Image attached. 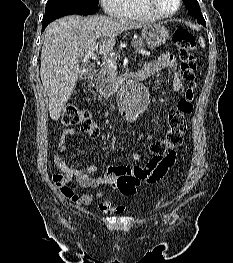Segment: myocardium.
Listing matches in <instances>:
<instances>
[{
    "label": "myocardium",
    "instance_id": "f54148a6",
    "mask_svg": "<svg viewBox=\"0 0 233 263\" xmlns=\"http://www.w3.org/2000/svg\"><path fill=\"white\" fill-rule=\"evenodd\" d=\"M181 3L182 0H176V7L175 9L170 12V13H164L162 11H160L155 3L154 0H145V4L147 6V8L154 14L156 15L158 18H170L173 17L174 15L177 14V12L179 11L180 7H181Z\"/></svg>",
    "mask_w": 233,
    "mask_h": 263
}]
</instances>
